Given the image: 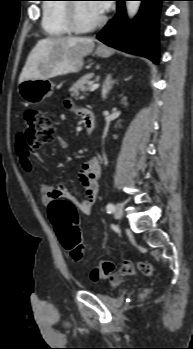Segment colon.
Returning a JSON list of instances; mask_svg holds the SVG:
<instances>
[{
    "mask_svg": "<svg viewBox=\"0 0 193 349\" xmlns=\"http://www.w3.org/2000/svg\"><path fill=\"white\" fill-rule=\"evenodd\" d=\"M23 136L29 151L53 141L56 131L52 120L41 110L31 108L24 114ZM48 217L58 239L71 258L82 263L85 249L78 228V211L75 203L66 199H57L48 205ZM144 274H151L152 265L147 261L138 264ZM114 264L109 260H100L91 271L92 280L109 278ZM148 291H144L146 295Z\"/></svg>",
    "mask_w": 193,
    "mask_h": 349,
    "instance_id": "1",
    "label": "colon"
}]
</instances>
